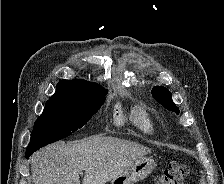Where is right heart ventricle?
<instances>
[{"mask_svg": "<svg viewBox=\"0 0 224 184\" xmlns=\"http://www.w3.org/2000/svg\"><path fill=\"white\" fill-rule=\"evenodd\" d=\"M129 120L143 133L147 135H153L155 133L154 121L149 115V113L146 111V109H144L143 107H134L129 114ZM117 121L118 123H122L124 121V118L121 113Z\"/></svg>", "mask_w": 224, "mask_h": 184, "instance_id": "e07e8e85", "label": "right heart ventricle"}]
</instances>
